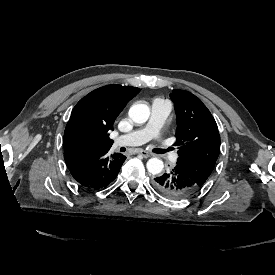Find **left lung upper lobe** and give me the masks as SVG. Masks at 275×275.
Masks as SVG:
<instances>
[{"label": "left lung upper lobe", "mask_w": 275, "mask_h": 275, "mask_svg": "<svg viewBox=\"0 0 275 275\" xmlns=\"http://www.w3.org/2000/svg\"><path fill=\"white\" fill-rule=\"evenodd\" d=\"M178 146L177 166L198 186H202L214 169L220 152V135L210 111L195 95L184 90H172Z\"/></svg>", "instance_id": "5c2ea615"}]
</instances>
